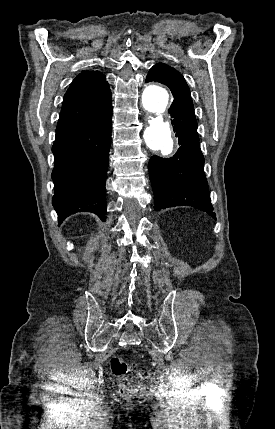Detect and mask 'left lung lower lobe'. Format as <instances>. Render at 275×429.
<instances>
[{
    "instance_id": "left-lung-lower-lobe-1",
    "label": "left lung lower lobe",
    "mask_w": 275,
    "mask_h": 429,
    "mask_svg": "<svg viewBox=\"0 0 275 429\" xmlns=\"http://www.w3.org/2000/svg\"><path fill=\"white\" fill-rule=\"evenodd\" d=\"M157 81L169 87L173 94L170 106L172 125L180 148L169 158L152 156L149 176L154 192V209L187 205L216 218L210 202L205 177L204 157L200 150L197 121L190 90L184 77L176 70L152 67L146 82Z\"/></svg>"
}]
</instances>
